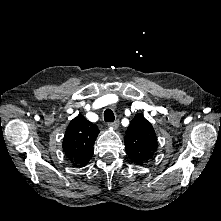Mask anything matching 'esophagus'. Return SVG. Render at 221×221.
Wrapping results in <instances>:
<instances>
[{"mask_svg":"<svg viewBox=\"0 0 221 221\" xmlns=\"http://www.w3.org/2000/svg\"><path fill=\"white\" fill-rule=\"evenodd\" d=\"M118 126H119V121L111 122L108 124V127L112 128V129H117Z\"/></svg>","mask_w":221,"mask_h":221,"instance_id":"esophagus-1","label":"esophagus"}]
</instances>
